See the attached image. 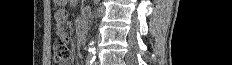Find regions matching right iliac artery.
I'll return each mask as SVG.
<instances>
[{"mask_svg":"<svg viewBox=\"0 0 232 65\" xmlns=\"http://www.w3.org/2000/svg\"><path fill=\"white\" fill-rule=\"evenodd\" d=\"M95 62V58L94 57H88L86 60V65H92Z\"/></svg>","mask_w":232,"mask_h":65,"instance_id":"1","label":"right iliac artery"}]
</instances>
